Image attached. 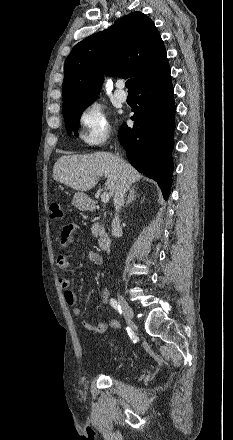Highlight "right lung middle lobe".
Wrapping results in <instances>:
<instances>
[{
	"instance_id": "right-lung-middle-lobe-1",
	"label": "right lung middle lobe",
	"mask_w": 233,
	"mask_h": 440,
	"mask_svg": "<svg viewBox=\"0 0 233 440\" xmlns=\"http://www.w3.org/2000/svg\"><path fill=\"white\" fill-rule=\"evenodd\" d=\"M93 101L94 100L71 105L62 109L68 135H70L72 132H74L76 136L78 135L77 130L82 111Z\"/></svg>"
}]
</instances>
